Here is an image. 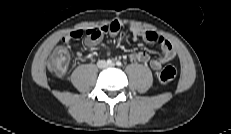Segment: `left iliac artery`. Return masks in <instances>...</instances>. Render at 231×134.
Instances as JSON below:
<instances>
[{"mask_svg":"<svg viewBox=\"0 0 231 134\" xmlns=\"http://www.w3.org/2000/svg\"><path fill=\"white\" fill-rule=\"evenodd\" d=\"M116 65H117V66H121L122 63H121L120 61H117V62H116Z\"/></svg>","mask_w":231,"mask_h":134,"instance_id":"left-iliac-artery-1","label":"left iliac artery"}]
</instances>
